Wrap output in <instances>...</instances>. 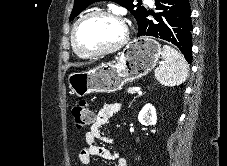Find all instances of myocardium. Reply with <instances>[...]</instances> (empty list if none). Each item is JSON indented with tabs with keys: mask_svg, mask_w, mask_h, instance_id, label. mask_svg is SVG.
Wrapping results in <instances>:
<instances>
[{
	"mask_svg": "<svg viewBox=\"0 0 227 166\" xmlns=\"http://www.w3.org/2000/svg\"><path fill=\"white\" fill-rule=\"evenodd\" d=\"M93 16H107V17H111V18L117 20L123 27V36H122L121 40L113 46L99 49V50L87 51V50L82 49L76 41V32H77L79 25L82 22H84L86 19L93 17ZM128 39H129V29H128V25H127L125 19L123 18V16L120 13L111 11V10H95V11H92V12H89V13L83 15L73 25V28L71 30V35H70V40H71V45H72L73 50L75 51V53H77L78 55L83 56V57H99V56H105L108 54H112V53L118 51L119 49H121L128 42Z\"/></svg>",
	"mask_w": 227,
	"mask_h": 166,
	"instance_id": "1",
	"label": "myocardium"
}]
</instances>
